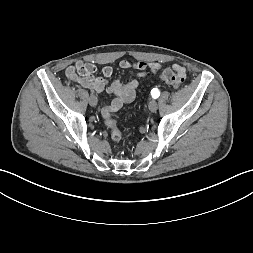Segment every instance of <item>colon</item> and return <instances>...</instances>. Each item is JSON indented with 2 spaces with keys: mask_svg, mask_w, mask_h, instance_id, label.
Wrapping results in <instances>:
<instances>
[{
  "mask_svg": "<svg viewBox=\"0 0 253 253\" xmlns=\"http://www.w3.org/2000/svg\"><path fill=\"white\" fill-rule=\"evenodd\" d=\"M160 78L168 85L178 88L185 81V73L178 68H165L159 72ZM106 126L110 131V136L114 141H120L122 139V133L117 126V121L114 118H107Z\"/></svg>",
  "mask_w": 253,
  "mask_h": 253,
  "instance_id": "1",
  "label": "colon"
}]
</instances>
